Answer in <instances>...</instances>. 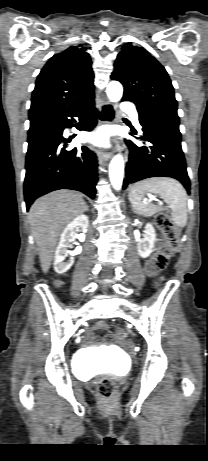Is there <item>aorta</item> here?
Instances as JSON below:
<instances>
[{
  "instance_id": "762f6f07",
  "label": "aorta",
  "mask_w": 208,
  "mask_h": 461,
  "mask_svg": "<svg viewBox=\"0 0 208 461\" xmlns=\"http://www.w3.org/2000/svg\"><path fill=\"white\" fill-rule=\"evenodd\" d=\"M107 96L111 102H118L123 95V87L118 81H111L107 86ZM124 177V159L121 154L115 155L109 164V178L115 190H120Z\"/></svg>"
}]
</instances>
